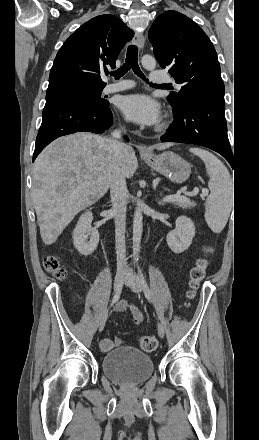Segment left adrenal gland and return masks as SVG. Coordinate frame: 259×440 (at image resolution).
I'll return each mask as SVG.
<instances>
[{
    "mask_svg": "<svg viewBox=\"0 0 259 440\" xmlns=\"http://www.w3.org/2000/svg\"><path fill=\"white\" fill-rule=\"evenodd\" d=\"M158 204L159 205H164V202L158 199Z\"/></svg>",
    "mask_w": 259,
    "mask_h": 440,
    "instance_id": "obj_1",
    "label": "left adrenal gland"
}]
</instances>
